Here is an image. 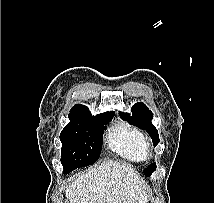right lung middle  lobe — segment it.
Returning a JSON list of instances; mask_svg holds the SVG:
<instances>
[{
  "mask_svg": "<svg viewBox=\"0 0 214 203\" xmlns=\"http://www.w3.org/2000/svg\"><path fill=\"white\" fill-rule=\"evenodd\" d=\"M113 115L92 116L90 111H70V122L62 130L61 163L63 173L95 163L102 149L104 125Z\"/></svg>",
  "mask_w": 214,
  "mask_h": 203,
  "instance_id": "right-lung-middle-lobe-1",
  "label": "right lung middle lobe"
}]
</instances>
